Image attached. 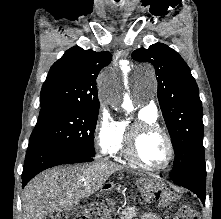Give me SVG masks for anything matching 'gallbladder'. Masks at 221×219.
<instances>
[{
    "instance_id": "gallbladder-1",
    "label": "gallbladder",
    "mask_w": 221,
    "mask_h": 219,
    "mask_svg": "<svg viewBox=\"0 0 221 219\" xmlns=\"http://www.w3.org/2000/svg\"><path fill=\"white\" fill-rule=\"evenodd\" d=\"M45 219H59V214L57 215H48Z\"/></svg>"
}]
</instances>
